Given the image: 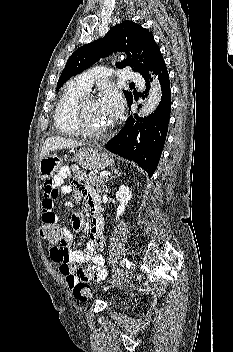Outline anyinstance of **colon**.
Segmentation results:
<instances>
[{"label": "colon", "mask_w": 233, "mask_h": 352, "mask_svg": "<svg viewBox=\"0 0 233 352\" xmlns=\"http://www.w3.org/2000/svg\"><path fill=\"white\" fill-rule=\"evenodd\" d=\"M40 234L51 246H62L65 244L64 233L59 226L43 224ZM72 292L76 299L86 301L91 296V287L84 282H78L72 288Z\"/></svg>", "instance_id": "1"}]
</instances>
